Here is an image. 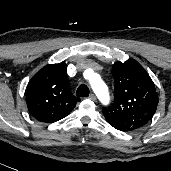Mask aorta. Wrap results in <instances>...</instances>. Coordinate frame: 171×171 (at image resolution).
Wrapping results in <instances>:
<instances>
[{
    "mask_svg": "<svg viewBox=\"0 0 171 171\" xmlns=\"http://www.w3.org/2000/svg\"><path fill=\"white\" fill-rule=\"evenodd\" d=\"M91 86L99 99L107 104L109 101V93H108V88L105 85V83L97 76L94 75L91 80H90Z\"/></svg>",
    "mask_w": 171,
    "mask_h": 171,
    "instance_id": "762f6f07",
    "label": "aorta"
}]
</instances>
